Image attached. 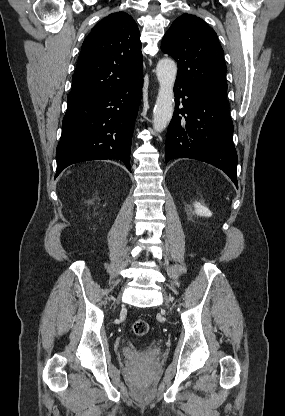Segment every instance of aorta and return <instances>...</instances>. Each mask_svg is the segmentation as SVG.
<instances>
[{"mask_svg": "<svg viewBox=\"0 0 285 416\" xmlns=\"http://www.w3.org/2000/svg\"><path fill=\"white\" fill-rule=\"evenodd\" d=\"M159 91L153 112V128L162 132L169 124L174 111V83L177 65L171 59H161L156 67Z\"/></svg>", "mask_w": 285, "mask_h": 416, "instance_id": "aorta-1", "label": "aorta"}]
</instances>
